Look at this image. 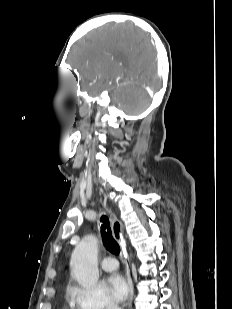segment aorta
Wrapping results in <instances>:
<instances>
[{
	"mask_svg": "<svg viewBox=\"0 0 232 309\" xmlns=\"http://www.w3.org/2000/svg\"><path fill=\"white\" fill-rule=\"evenodd\" d=\"M72 276L84 287L93 286L99 279L98 239L85 236L75 247L71 256Z\"/></svg>",
	"mask_w": 232,
	"mask_h": 309,
	"instance_id": "762f6f07",
	"label": "aorta"
}]
</instances>
